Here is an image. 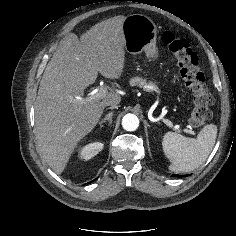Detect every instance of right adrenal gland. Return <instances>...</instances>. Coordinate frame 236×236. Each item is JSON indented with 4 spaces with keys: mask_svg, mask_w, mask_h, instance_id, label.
Listing matches in <instances>:
<instances>
[{
    "mask_svg": "<svg viewBox=\"0 0 236 236\" xmlns=\"http://www.w3.org/2000/svg\"><path fill=\"white\" fill-rule=\"evenodd\" d=\"M112 116H113V112H109V113L105 116V118L99 122V125H102V124L105 123L106 121H108L109 124H112Z\"/></svg>",
    "mask_w": 236,
    "mask_h": 236,
    "instance_id": "2a0ac1e0",
    "label": "right adrenal gland"
}]
</instances>
